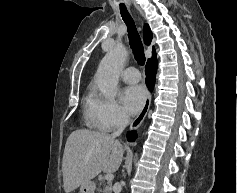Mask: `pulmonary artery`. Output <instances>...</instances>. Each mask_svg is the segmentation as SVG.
<instances>
[{
	"instance_id": "obj_1",
	"label": "pulmonary artery",
	"mask_w": 237,
	"mask_h": 193,
	"mask_svg": "<svg viewBox=\"0 0 237 193\" xmlns=\"http://www.w3.org/2000/svg\"><path fill=\"white\" fill-rule=\"evenodd\" d=\"M122 79L126 83H136L140 81L141 79V74L139 70L135 67H128L124 70L122 73Z\"/></svg>"
}]
</instances>
